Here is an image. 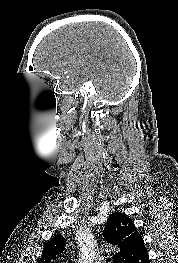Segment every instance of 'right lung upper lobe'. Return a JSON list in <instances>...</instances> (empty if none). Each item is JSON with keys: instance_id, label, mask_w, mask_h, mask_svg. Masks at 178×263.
Segmentation results:
<instances>
[{"instance_id": "1", "label": "right lung upper lobe", "mask_w": 178, "mask_h": 263, "mask_svg": "<svg viewBox=\"0 0 178 263\" xmlns=\"http://www.w3.org/2000/svg\"><path fill=\"white\" fill-rule=\"evenodd\" d=\"M105 240L118 249L113 254V263H132L140 254L146 251L143 238L132 221L122 213H113L103 231ZM64 239L57 234L46 245L38 263H50L56 255L64 251Z\"/></svg>"}]
</instances>
